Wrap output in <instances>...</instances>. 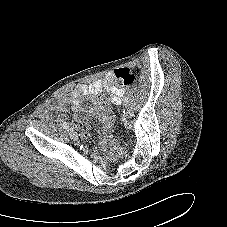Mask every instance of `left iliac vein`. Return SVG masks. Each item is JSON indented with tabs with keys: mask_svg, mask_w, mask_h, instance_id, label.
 Segmentation results:
<instances>
[{
	"mask_svg": "<svg viewBox=\"0 0 227 227\" xmlns=\"http://www.w3.org/2000/svg\"><path fill=\"white\" fill-rule=\"evenodd\" d=\"M126 116L127 118H132L134 116V110L130 105L126 106Z\"/></svg>",
	"mask_w": 227,
	"mask_h": 227,
	"instance_id": "left-iliac-vein-1",
	"label": "left iliac vein"
}]
</instances>
